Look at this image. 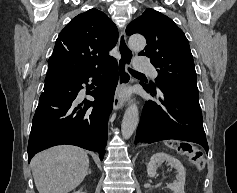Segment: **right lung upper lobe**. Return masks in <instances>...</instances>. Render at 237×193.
Listing matches in <instances>:
<instances>
[{
  "instance_id": "obj_1",
  "label": "right lung upper lobe",
  "mask_w": 237,
  "mask_h": 193,
  "mask_svg": "<svg viewBox=\"0 0 237 193\" xmlns=\"http://www.w3.org/2000/svg\"><path fill=\"white\" fill-rule=\"evenodd\" d=\"M118 40V30L107 15L90 9L74 17L56 40L48 66L72 73L105 67L115 59L108 55Z\"/></svg>"
}]
</instances>
